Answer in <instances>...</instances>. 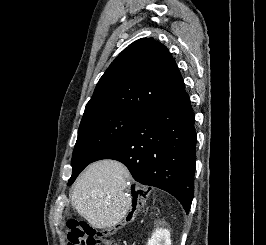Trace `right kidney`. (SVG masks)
<instances>
[{"label": "right kidney", "mask_w": 266, "mask_h": 245, "mask_svg": "<svg viewBox=\"0 0 266 245\" xmlns=\"http://www.w3.org/2000/svg\"><path fill=\"white\" fill-rule=\"evenodd\" d=\"M155 233H153L151 239L148 241V245H154Z\"/></svg>", "instance_id": "1"}]
</instances>
